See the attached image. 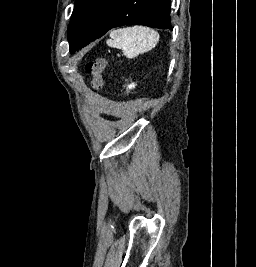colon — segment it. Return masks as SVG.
<instances>
[{
  "label": "colon",
  "mask_w": 256,
  "mask_h": 267,
  "mask_svg": "<svg viewBox=\"0 0 256 267\" xmlns=\"http://www.w3.org/2000/svg\"><path fill=\"white\" fill-rule=\"evenodd\" d=\"M107 62L104 58L91 59L85 66L86 72L92 77V89L99 92L103 89L104 71Z\"/></svg>",
  "instance_id": "obj_1"
}]
</instances>
